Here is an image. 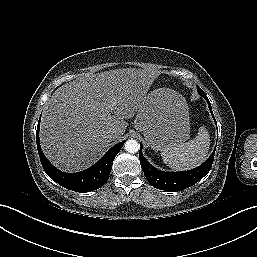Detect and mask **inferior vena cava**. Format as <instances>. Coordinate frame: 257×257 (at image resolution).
<instances>
[{
	"label": "inferior vena cava",
	"instance_id": "obj_1",
	"mask_svg": "<svg viewBox=\"0 0 257 257\" xmlns=\"http://www.w3.org/2000/svg\"><path fill=\"white\" fill-rule=\"evenodd\" d=\"M106 138L108 139H114L116 137V131L114 130H110L106 133Z\"/></svg>",
	"mask_w": 257,
	"mask_h": 257
}]
</instances>
